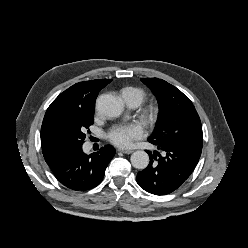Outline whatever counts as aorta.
Listing matches in <instances>:
<instances>
[{"label": "aorta", "instance_id": "762f6f07", "mask_svg": "<svg viewBox=\"0 0 248 248\" xmlns=\"http://www.w3.org/2000/svg\"><path fill=\"white\" fill-rule=\"evenodd\" d=\"M96 109L99 114L106 117H118L124 109L122 100L110 94H103L96 101ZM131 163L134 168L145 169L149 164V156L145 151H135L131 155Z\"/></svg>", "mask_w": 248, "mask_h": 248}]
</instances>
